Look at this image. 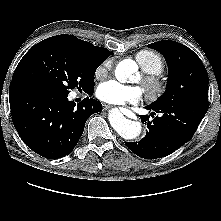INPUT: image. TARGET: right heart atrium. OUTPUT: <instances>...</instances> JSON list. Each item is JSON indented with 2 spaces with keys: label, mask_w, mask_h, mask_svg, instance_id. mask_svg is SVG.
<instances>
[{
  "label": "right heart atrium",
  "mask_w": 221,
  "mask_h": 221,
  "mask_svg": "<svg viewBox=\"0 0 221 221\" xmlns=\"http://www.w3.org/2000/svg\"><path fill=\"white\" fill-rule=\"evenodd\" d=\"M112 67V61L106 60L104 61L96 70V76L97 77H104L107 75V73L111 70Z\"/></svg>",
  "instance_id": "obj_1"
}]
</instances>
